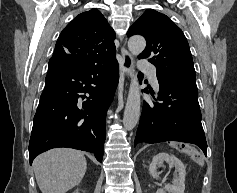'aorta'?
I'll return each instance as SVG.
<instances>
[{
	"label": "aorta",
	"mask_w": 237,
	"mask_h": 193,
	"mask_svg": "<svg viewBox=\"0 0 237 193\" xmlns=\"http://www.w3.org/2000/svg\"><path fill=\"white\" fill-rule=\"evenodd\" d=\"M146 47L143 36L134 35L128 40V49L132 56H138ZM141 95L137 74H131L127 102L124 110L123 125L126 130H132L138 123L140 117Z\"/></svg>",
	"instance_id": "aorta-1"
}]
</instances>
